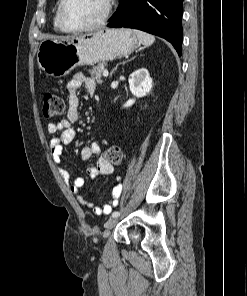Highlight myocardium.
<instances>
[{
  "label": "myocardium",
  "mask_w": 247,
  "mask_h": 296,
  "mask_svg": "<svg viewBox=\"0 0 247 296\" xmlns=\"http://www.w3.org/2000/svg\"><path fill=\"white\" fill-rule=\"evenodd\" d=\"M66 3H67V0H60L59 2L58 23L60 28L67 33H83V32H88V31H92V30L103 27L110 19L112 9H113V0H104L105 10L102 17L97 22L84 27L74 28V27H70L66 23L64 18V9H65Z\"/></svg>",
  "instance_id": "1"
}]
</instances>
